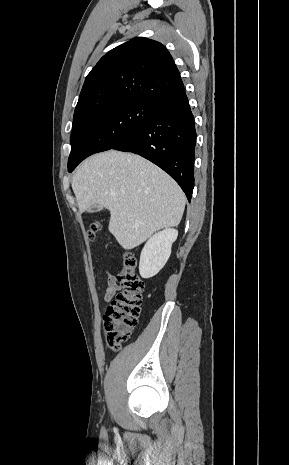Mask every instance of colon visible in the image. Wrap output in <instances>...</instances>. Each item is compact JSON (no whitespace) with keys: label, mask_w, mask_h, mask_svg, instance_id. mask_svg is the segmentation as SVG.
I'll list each match as a JSON object with an SVG mask.
<instances>
[{"label":"colon","mask_w":289,"mask_h":465,"mask_svg":"<svg viewBox=\"0 0 289 465\" xmlns=\"http://www.w3.org/2000/svg\"><path fill=\"white\" fill-rule=\"evenodd\" d=\"M98 229V223L91 224L87 239L94 240ZM117 281L121 290L103 316L105 342L113 351H118L130 339L138 325L144 283L136 274V258L132 253L124 256Z\"/></svg>","instance_id":"colon-1"}]
</instances>
